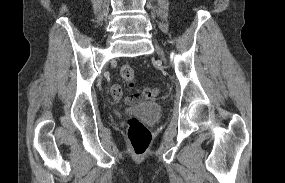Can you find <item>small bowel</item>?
Instances as JSON below:
<instances>
[{"label": "small bowel", "mask_w": 285, "mask_h": 183, "mask_svg": "<svg viewBox=\"0 0 285 183\" xmlns=\"http://www.w3.org/2000/svg\"><path fill=\"white\" fill-rule=\"evenodd\" d=\"M111 95L114 99H120L122 95L121 87L119 85H113L111 87Z\"/></svg>", "instance_id": "c3829d8e"}]
</instances>
